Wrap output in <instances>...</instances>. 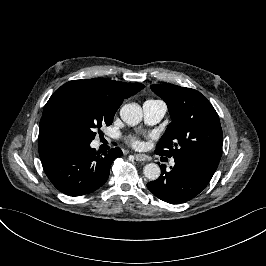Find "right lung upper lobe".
Wrapping results in <instances>:
<instances>
[{"label": "right lung upper lobe", "instance_id": "1", "mask_svg": "<svg viewBox=\"0 0 266 266\" xmlns=\"http://www.w3.org/2000/svg\"><path fill=\"white\" fill-rule=\"evenodd\" d=\"M72 83H91L99 85L106 91L110 100L119 105L122 104L124 99L136 94L144 88V85L141 83H125L104 78L74 80L64 85ZM61 143L62 142L50 119L48 106L45 105L43 115L40 120L38 139V148L41 160H43L52 149Z\"/></svg>", "mask_w": 266, "mask_h": 266}]
</instances>
